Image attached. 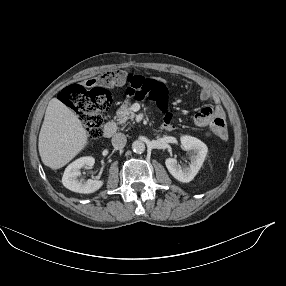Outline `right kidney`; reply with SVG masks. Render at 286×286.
Segmentation results:
<instances>
[{"label": "right kidney", "mask_w": 286, "mask_h": 286, "mask_svg": "<svg viewBox=\"0 0 286 286\" xmlns=\"http://www.w3.org/2000/svg\"><path fill=\"white\" fill-rule=\"evenodd\" d=\"M95 163V160L91 156L81 157L71 164L67 166V168L64 171V175L62 177V183L63 185L77 193H93L100 189L103 185V181L98 180H92L89 179L87 181L79 180L78 177H80L81 172L79 171L80 168L85 166H93Z\"/></svg>", "instance_id": "ca27d5eb"}]
</instances>
